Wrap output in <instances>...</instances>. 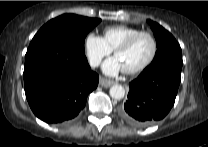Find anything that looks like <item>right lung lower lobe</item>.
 <instances>
[{
  "mask_svg": "<svg viewBox=\"0 0 208 147\" xmlns=\"http://www.w3.org/2000/svg\"><path fill=\"white\" fill-rule=\"evenodd\" d=\"M24 89L33 113L46 123H65L85 107L99 76L84 52L64 42L27 50Z\"/></svg>",
  "mask_w": 208,
  "mask_h": 147,
  "instance_id": "right-lung-lower-lobe-1",
  "label": "right lung lower lobe"
}]
</instances>
